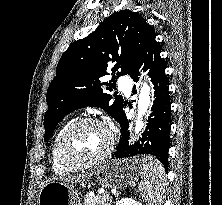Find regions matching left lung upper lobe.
Wrapping results in <instances>:
<instances>
[{
    "mask_svg": "<svg viewBox=\"0 0 222 205\" xmlns=\"http://www.w3.org/2000/svg\"><path fill=\"white\" fill-rule=\"evenodd\" d=\"M153 33L140 14L121 10L87 37L73 42L59 60L57 75L47 90L44 140L51 137L66 114L79 108L100 107L117 120L123 98L106 93L101 86L114 87L116 78L129 73ZM109 67L113 83L100 82Z\"/></svg>",
    "mask_w": 222,
    "mask_h": 205,
    "instance_id": "obj_1",
    "label": "left lung upper lobe"
}]
</instances>
